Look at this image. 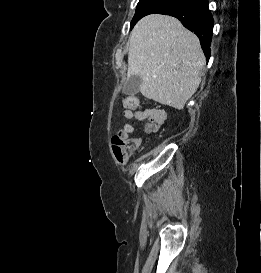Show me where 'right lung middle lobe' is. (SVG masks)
<instances>
[{"mask_svg":"<svg viewBox=\"0 0 261 273\" xmlns=\"http://www.w3.org/2000/svg\"><path fill=\"white\" fill-rule=\"evenodd\" d=\"M167 0H140L136 13L131 21L130 28L132 29L134 25L145 15L152 13H159L166 9Z\"/></svg>","mask_w":261,"mask_h":273,"instance_id":"obj_1","label":"right lung middle lobe"}]
</instances>
